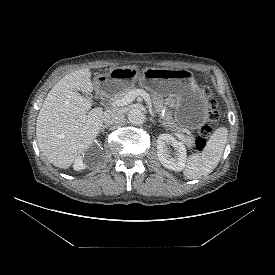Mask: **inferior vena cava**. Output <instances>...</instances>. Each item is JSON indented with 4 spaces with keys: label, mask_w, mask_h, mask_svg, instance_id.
I'll list each match as a JSON object with an SVG mask.
<instances>
[{
    "label": "inferior vena cava",
    "mask_w": 275,
    "mask_h": 275,
    "mask_svg": "<svg viewBox=\"0 0 275 275\" xmlns=\"http://www.w3.org/2000/svg\"><path fill=\"white\" fill-rule=\"evenodd\" d=\"M121 115L122 113L118 109H108L103 114V121L105 125L109 126L116 123L120 119Z\"/></svg>",
    "instance_id": "1"
}]
</instances>
